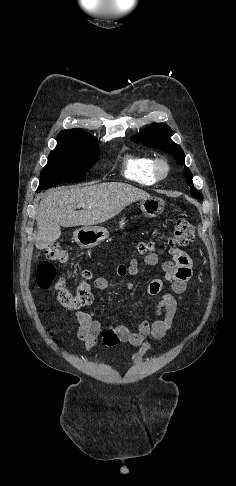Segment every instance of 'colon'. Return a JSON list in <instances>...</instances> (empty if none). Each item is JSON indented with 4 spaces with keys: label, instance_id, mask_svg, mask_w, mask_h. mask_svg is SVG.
Here are the masks:
<instances>
[{
    "label": "colon",
    "instance_id": "obj_1",
    "mask_svg": "<svg viewBox=\"0 0 236 486\" xmlns=\"http://www.w3.org/2000/svg\"><path fill=\"white\" fill-rule=\"evenodd\" d=\"M195 235V229L186 214L178 216L172 236L168 240V246L171 248L186 246L192 242ZM154 249L152 242H142L138 245L140 254H150ZM68 254L66 250L59 244L53 243L45 250V260L42 261L38 267L37 282L42 288L50 286L55 278V262L63 263L67 260ZM88 271L83 272L82 282L70 291L66 288L63 281L56 284L58 292L59 304L72 311H76L91 304L93 295L88 280L90 279Z\"/></svg>",
    "mask_w": 236,
    "mask_h": 486
}]
</instances>
